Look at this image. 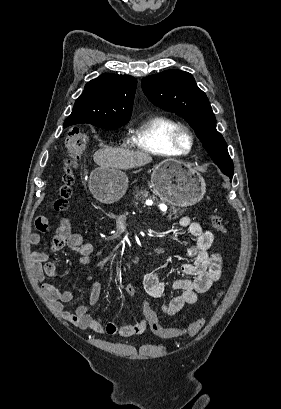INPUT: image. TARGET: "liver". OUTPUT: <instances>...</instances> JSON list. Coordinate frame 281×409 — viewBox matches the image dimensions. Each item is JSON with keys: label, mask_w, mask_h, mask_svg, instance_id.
<instances>
[{"label": "liver", "mask_w": 281, "mask_h": 409, "mask_svg": "<svg viewBox=\"0 0 281 409\" xmlns=\"http://www.w3.org/2000/svg\"><path fill=\"white\" fill-rule=\"evenodd\" d=\"M94 162L99 166L113 168H137L151 162L152 156L145 150H128V148H102L93 154Z\"/></svg>", "instance_id": "6515ba94"}]
</instances>
